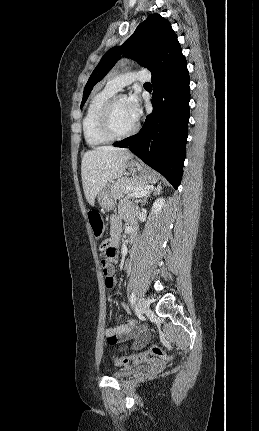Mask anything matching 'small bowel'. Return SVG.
I'll return each mask as SVG.
<instances>
[{
  "label": "small bowel",
  "mask_w": 259,
  "mask_h": 431,
  "mask_svg": "<svg viewBox=\"0 0 259 431\" xmlns=\"http://www.w3.org/2000/svg\"><path fill=\"white\" fill-rule=\"evenodd\" d=\"M121 233V217L119 215H113L110 218V229H109V237L108 240L112 245L117 247L118 241ZM126 269H128L129 265L126 264ZM102 273L105 276V285L108 288L114 286L115 277L113 275V267L112 265L105 266L102 268ZM110 332H115L119 339L126 341L133 339L135 340L138 346H142L146 339L147 334L144 329L140 327V324L136 320H130L128 323L122 326H112L106 330V335Z\"/></svg>",
  "instance_id": "obj_1"
}]
</instances>
